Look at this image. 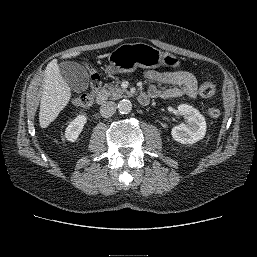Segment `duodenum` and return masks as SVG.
<instances>
[{
    "label": "duodenum",
    "mask_w": 257,
    "mask_h": 257,
    "mask_svg": "<svg viewBox=\"0 0 257 257\" xmlns=\"http://www.w3.org/2000/svg\"><path fill=\"white\" fill-rule=\"evenodd\" d=\"M106 100H107V93L105 91H102L97 94L96 102L99 105L104 104L106 102ZM138 100L141 105H146L149 102V97L146 94H140L138 97Z\"/></svg>",
    "instance_id": "duodenum-1"
}]
</instances>
